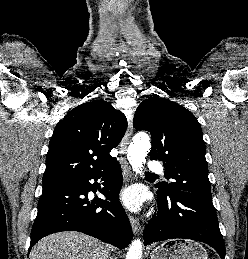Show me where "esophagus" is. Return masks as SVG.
<instances>
[{
  "label": "esophagus",
  "instance_id": "34e87169",
  "mask_svg": "<svg viewBox=\"0 0 248 259\" xmlns=\"http://www.w3.org/2000/svg\"><path fill=\"white\" fill-rule=\"evenodd\" d=\"M127 123H128V126H127L126 133L120 143V153H121V166L123 170L124 179L126 183H129L130 181H132V172L126 157V153H127V148L129 145L130 138L133 133V116L131 113H129L127 116ZM128 217H129V221H130L133 233L135 235L138 234V232L141 229L138 219L131 214H129Z\"/></svg>",
  "mask_w": 248,
  "mask_h": 259
}]
</instances>
